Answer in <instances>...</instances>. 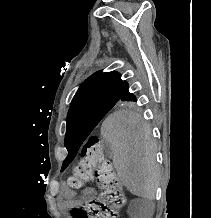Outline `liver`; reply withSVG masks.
Returning <instances> with one entry per match:
<instances>
[{"label":"liver","mask_w":211,"mask_h":218,"mask_svg":"<svg viewBox=\"0 0 211 218\" xmlns=\"http://www.w3.org/2000/svg\"><path fill=\"white\" fill-rule=\"evenodd\" d=\"M101 136L110 144L114 168L122 184L134 196L153 200L160 182L156 144L141 114L131 110L110 114L102 124Z\"/></svg>","instance_id":"1"}]
</instances>
